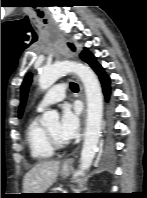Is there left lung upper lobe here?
<instances>
[{"mask_svg": "<svg viewBox=\"0 0 147 198\" xmlns=\"http://www.w3.org/2000/svg\"><path fill=\"white\" fill-rule=\"evenodd\" d=\"M69 47L72 49V50H75V47L72 45V44H68ZM86 49L80 54V57L83 59L84 58V55L86 53ZM31 80H32V74L29 73L26 75L23 83H22V87H21V104H20V108H19V117L22 116V113H23V109H24V106H25V102H26V97H27V93H28V89H29V86H30V83H31Z\"/></svg>", "mask_w": 147, "mask_h": 198, "instance_id": "1", "label": "left lung upper lobe"}]
</instances>
